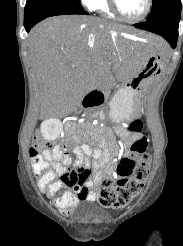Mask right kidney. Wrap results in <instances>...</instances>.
I'll return each instance as SVG.
<instances>
[{
  "mask_svg": "<svg viewBox=\"0 0 183 246\" xmlns=\"http://www.w3.org/2000/svg\"><path fill=\"white\" fill-rule=\"evenodd\" d=\"M62 130L61 121L58 119H48L41 124V134L44 139L55 140Z\"/></svg>",
  "mask_w": 183,
  "mask_h": 246,
  "instance_id": "right-kidney-1",
  "label": "right kidney"
}]
</instances>
